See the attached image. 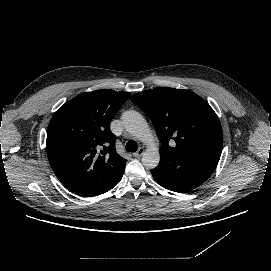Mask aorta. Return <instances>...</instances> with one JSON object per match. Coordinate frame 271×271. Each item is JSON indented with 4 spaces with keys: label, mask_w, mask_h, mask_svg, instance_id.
<instances>
[{
    "label": "aorta",
    "mask_w": 271,
    "mask_h": 271,
    "mask_svg": "<svg viewBox=\"0 0 271 271\" xmlns=\"http://www.w3.org/2000/svg\"><path fill=\"white\" fill-rule=\"evenodd\" d=\"M125 129L146 145L142 155V164L146 168H155L160 162L159 147L156 136L146 119L136 111H126L122 114Z\"/></svg>",
    "instance_id": "1"
}]
</instances>
